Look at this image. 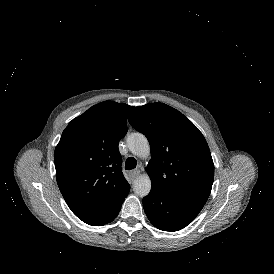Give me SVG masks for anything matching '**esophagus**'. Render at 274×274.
<instances>
[{"label":"esophagus","mask_w":274,"mask_h":274,"mask_svg":"<svg viewBox=\"0 0 274 274\" xmlns=\"http://www.w3.org/2000/svg\"><path fill=\"white\" fill-rule=\"evenodd\" d=\"M128 174H129L130 179L134 180L140 175V170L135 169V170L130 171Z\"/></svg>","instance_id":"esophagus-1"}]
</instances>
